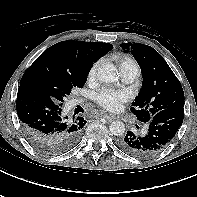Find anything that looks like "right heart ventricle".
I'll list each match as a JSON object with an SVG mask.
<instances>
[{"mask_svg":"<svg viewBox=\"0 0 197 197\" xmlns=\"http://www.w3.org/2000/svg\"><path fill=\"white\" fill-rule=\"evenodd\" d=\"M120 70L126 68L137 69L139 71L136 61L130 57H122L119 61Z\"/></svg>","mask_w":197,"mask_h":197,"instance_id":"e07e8e85","label":"right heart ventricle"}]
</instances>
